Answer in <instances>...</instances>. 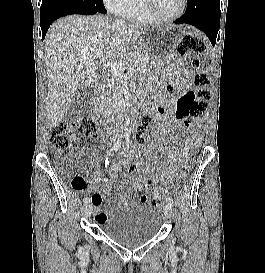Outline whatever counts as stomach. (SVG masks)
I'll list each match as a JSON object with an SVG mask.
<instances>
[{
	"instance_id": "stomach-1",
	"label": "stomach",
	"mask_w": 265,
	"mask_h": 273,
	"mask_svg": "<svg viewBox=\"0 0 265 273\" xmlns=\"http://www.w3.org/2000/svg\"><path fill=\"white\" fill-rule=\"evenodd\" d=\"M187 25H159V29L148 28L143 30L137 44H127V49H144L140 55L139 69H164V64H172L169 56H176V51H163L175 49V45L187 34Z\"/></svg>"
}]
</instances>
